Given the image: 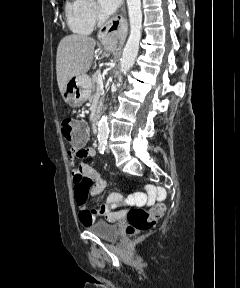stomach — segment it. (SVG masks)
<instances>
[{
    "mask_svg": "<svg viewBox=\"0 0 240 288\" xmlns=\"http://www.w3.org/2000/svg\"><path fill=\"white\" fill-rule=\"evenodd\" d=\"M108 49V48H107ZM92 83L88 75H79L68 81L62 97L72 108L80 107L91 95Z\"/></svg>",
    "mask_w": 240,
    "mask_h": 288,
    "instance_id": "stomach-1",
    "label": "stomach"
}]
</instances>
